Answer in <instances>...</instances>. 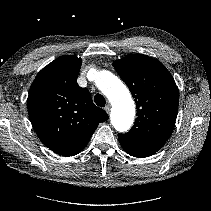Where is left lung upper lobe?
Segmentation results:
<instances>
[{
	"label": "left lung upper lobe",
	"mask_w": 211,
	"mask_h": 211,
	"mask_svg": "<svg viewBox=\"0 0 211 211\" xmlns=\"http://www.w3.org/2000/svg\"><path fill=\"white\" fill-rule=\"evenodd\" d=\"M113 66L135 98L137 118L125 137L166 142L174 129L179 92L172 75L158 61L140 54L128 55Z\"/></svg>",
	"instance_id": "5c2ea615"
}]
</instances>
